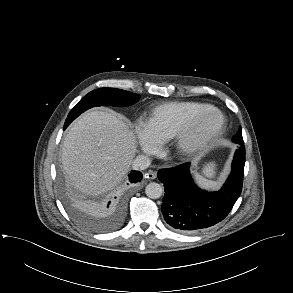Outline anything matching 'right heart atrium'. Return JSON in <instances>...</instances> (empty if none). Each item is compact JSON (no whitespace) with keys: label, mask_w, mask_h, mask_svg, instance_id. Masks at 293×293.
Segmentation results:
<instances>
[{"label":"right heart atrium","mask_w":293,"mask_h":293,"mask_svg":"<svg viewBox=\"0 0 293 293\" xmlns=\"http://www.w3.org/2000/svg\"><path fill=\"white\" fill-rule=\"evenodd\" d=\"M132 136L136 146L146 154H155L161 143L142 120L133 125Z\"/></svg>","instance_id":"d8ad5b80"}]
</instances>
